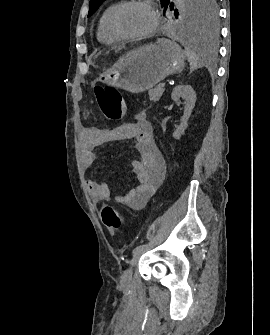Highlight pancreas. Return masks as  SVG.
Returning <instances> with one entry per match:
<instances>
[{"mask_svg": "<svg viewBox=\"0 0 270 335\" xmlns=\"http://www.w3.org/2000/svg\"><path fill=\"white\" fill-rule=\"evenodd\" d=\"M163 92H164V88L162 87L161 84H159V86H156V88H152V90H149L148 92L149 100H151V102H158Z\"/></svg>", "mask_w": 270, "mask_h": 335, "instance_id": "pancreas-1", "label": "pancreas"}]
</instances>
